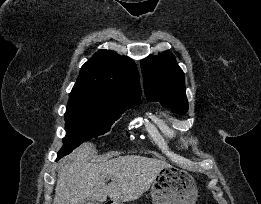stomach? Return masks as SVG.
Here are the masks:
<instances>
[{
  "label": "stomach",
  "mask_w": 261,
  "mask_h": 204,
  "mask_svg": "<svg viewBox=\"0 0 261 204\" xmlns=\"http://www.w3.org/2000/svg\"><path fill=\"white\" fill-rule=\"evenodd\" d=\"M151 197L153 204H195L197 184L187 171L167 166L159 171L152 183Z\"/></svg>",
  "instance_id": "1"
}]
</instances>
